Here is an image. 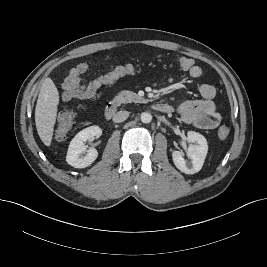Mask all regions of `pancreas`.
Segmentation results:
<instances>
[{
	"label": "pancreas",
	"mask_w": 267,
	"mask_h": 267,
	"mask_svg": "<svg viewBox=\"0 0 267 267\" xmlns=\"http://www.w3.org/2000/svg\"><path fill=\"white\" fill-rule=\"evenodd\" d=\"M114 101L118 104H126L131 102H140L142 101V98L132 91H121L114 97Z\"/></svg>",
	"instance_id": "cf45deb5"
}]
</instances>
